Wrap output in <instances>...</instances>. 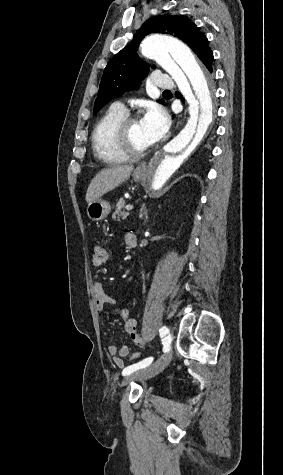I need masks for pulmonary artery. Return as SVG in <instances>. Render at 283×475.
Instances as JSON below:
<instances>
[{"mask_svg": "<svg viewBox=\"0 0 283 475\" xmlns=\"http://www.w3.org/2000/svg\"><path fill=\"white\" fill-rule=\"evenodd\" d=\"M158 89H172L173 81L172 80H158L157 81ZM117 106L124 107L121 103H115Z\"/></svg>", "mask_w": 283, "mask_h": 475, "instance_id": "pulmonary-artery-1", "label": "pulmonary artery"}]
</instances>
